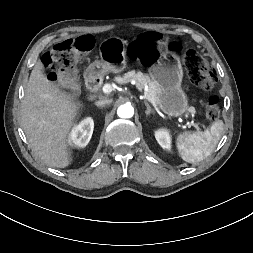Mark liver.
<instances>
[{"mask_svg":"<svg viewBox=\"0 0 253 253\" xmlns=\"http://www.w3.org/2000/svg\"><path fill=\"white\" fill-rule=\"evenodd\" d=\"M80 102L62 92L37 63L30 74L21 109V125L35 155L46 165L65 168L71 163L69 135Z\"/></svg>","mask_w":253,"mask_h":253,"instance_id":"6515ba94","label":"liver"}]
</instances>
